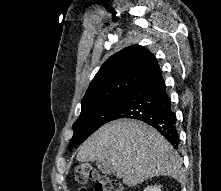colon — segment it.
Masks as SVG:
<instances>
[{"label": "colon", "mask_w": 221, "mask_h": 191, "mask_svg": "<svg viewBox=\"0 0 221 191\" xmlns=\"http://www.w3.org/2000/svg\"><path fill=\"white\" fill-rule=\"evenodd\" d=\"M73 179L79 186V191H87L88 182L94 184L96 191H124L120 181L110 178L87 164H81L75 168Z\"/></svg>", "instance_id": "colon-1"}]
</instances>
